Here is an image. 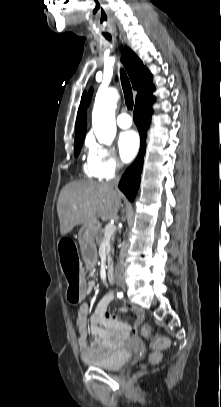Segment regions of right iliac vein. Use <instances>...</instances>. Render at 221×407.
I'll use <instances>...</instances> for the list:
<instances>
[{
  "instance_id": "right-iliac-vein-1",
  "label": "right iliac vein",
  "mask_w": 221,
  "mask_h": 407,
  "mask_svg": "<svg viewBox=\"0 0 221 407\" xmlns=\"http://www.w3.org/2000/svg\"><path fill=\"white\" fill-rule=\"evenodd\" d=\"M120 286H121L123 289H125V285H124V284H120Z\"/></svg>"
}]
</instances>
